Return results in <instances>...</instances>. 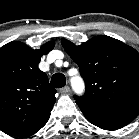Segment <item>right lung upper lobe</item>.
<instances>
[{"mask_svg": "<svg viewBox=\"0 0 139 139\" xmlns=\"http://www.w3.org/2000/svg\"><path fill=\"white\" fill-rule=\"evenodd\" d=\"M54 45L50 41L34 50L13 41L0 48V130L4 133L20 136L49 118L56 90L38 64Z\"/></svg>", "mask_w": 139, "mask_h": 139, "instance_id": "right-lung-upper-lobe-1", "label": "right lung upper lobe"}]
</instances>
